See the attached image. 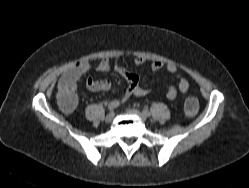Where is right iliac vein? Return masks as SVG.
Segmentation results:
<instances>
[{
    "mask_svg": "<svg viewBox=\"0 0 249 188\" xmlns=\"http://www.w3.org/2000/svg\"><path fill=\"white\" fill-rule=\"evenodd\" d=\"M114 117H115V113H114V112H110V113L106 116L105 122H106V123L112 122L113 119H114Z\"/></svg>",
    "mask_w": 249,
    "mask_h": 188,
    "instance_id": "obj_1",
    "label": "right iliac vein"
}]
</instances>
